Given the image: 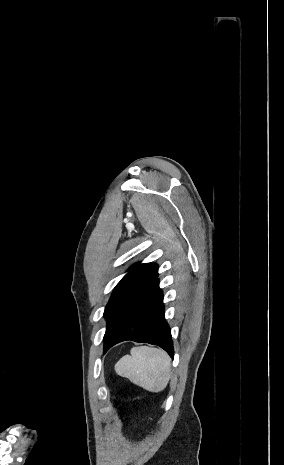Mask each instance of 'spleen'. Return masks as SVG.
<instances>
[{
	"instance_id": "obj_1",
	"label": "spleen",
	"mask_w": 284,
	"mask_h": 465,
	"mask_svg": "<svg viewBox=\"0 0 284 465\" xmlns=\"http://www.w3.org/2000/svg\"><path fill=\"white\" fill-rule=\"evenodd\" d=\"M170 361L169 355L162 349L133 347L130 355H125L116 363L115 371L119 377L129 379L150 393H160L170 379Z\"/></svg>"
}]
</instances>
